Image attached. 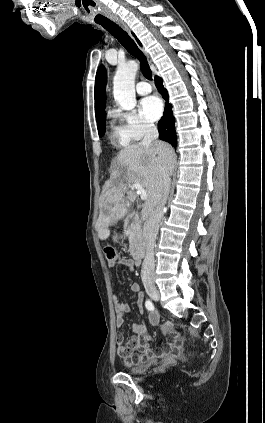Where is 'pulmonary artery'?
<instances>
[{
  "instance_id": "1",
  "label": "pulmonary artery",
  "mask_w": 265,
  "mask_h": 423,
  "mask_svg": "<svg viewBox=\"0 0 265 423\" xmlns=\"http://www.w3.org/2000/svg\"><path fill=\"white\" fill-rule=\"evenodd\" d=\"M151 90H152V88H151L150 84L146 81L142 80V81H139L136 84V92L139 95H146V94L150 93Z\"/></svg>"
}]
</instances>
